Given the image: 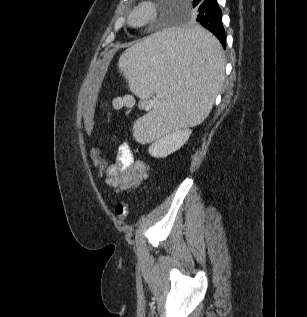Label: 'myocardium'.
<instances>
[{"label": "myocardium", "instance_id": "myocardium-1", "mask_svg": "<svg viewBox=\"0 0 307 317\" xmlns=\"http://www.w3.org/2000/svg\"><path fill=\"white\" fill-rule=\"evenodd\" d=\"M159 10V4L155 0H141L129 13L128 22L136 29L145 27L155 20Z\"/></svg>", "mask_w": 307, "mask_h": 317}]
</instances>
